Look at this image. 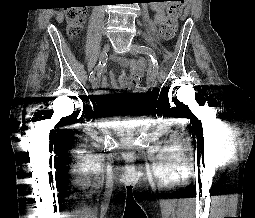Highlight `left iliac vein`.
Segmentation results:
<instances>
[{
    "mask_svg": "<svg viewBox=\"0 0 255 218\" xmlns=\"http://www.w3.org/2000/svg\"><path fill=\"white\" fill-rule=\"evenodd\" d=\"M138 49H139V45H137V44H132V46H131V52H132L133 54H138V53H139ZM149 86H150L151 88H154V87L157 86V80H156V78H153V79H150V80H149Z\"/></svg>",
    "mask_w": 255,
    "mask_h": 218,
    "instance_id": "obj_1",
    "label": "left iliac vein"
}]
</instances>
